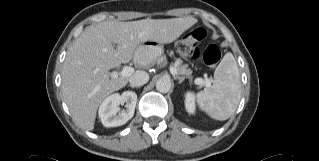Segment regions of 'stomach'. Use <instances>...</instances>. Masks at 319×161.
<instances>
[{
  "label": "stomach",
  "instance_id": "stomach-1",
  "mask_svg": "<svg viewBox=\"0 0 319 161\" xmlns=\"http://www.w3.org/2000/svg\"><path fill=\"white\" fill-rule=\"evenodd\" d=\"M163 54V47L155 41H145L141 43L135 51V62L152 63L160 58Z\"/></svg>",
  "mask_w": 319,
  "mask_h": 161
}]
</instances>
